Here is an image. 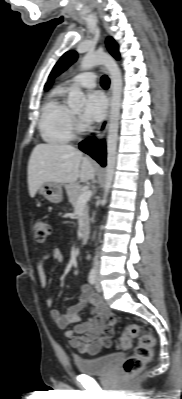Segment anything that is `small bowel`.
Listing matches in <instances>:
<instances>
[{"instance_id":"obj_1","label":"small bowel","mask_w":182,"mask_h":399,"mask_svg":"<svg viewBox=\"0 0 182 399\" xmlns=\"http://www.w3.org/2000/svg\"><path fill=\"white\" fill-rule=\"evenodd\" d=\"M48 261L63 263L65 258L62 250L59 248L52 249L38 261L37 271L42 288L48 286L45 273V264ZM53 304L54 297L49 296L46 299V305L52 307ZM87 305L91 307L92 316L87 321L82 322L79 312ZM50 316L59 328L66 329L64 335L70 346L83 355L94 356L102 349L111 346L117 317L104 306L100 297L94 294L87 284L82 285L76 303L70 305L64 313L53 308L50 310ZM72 325L74 327L69 328Z\"/></svg>"}]
</instances>
